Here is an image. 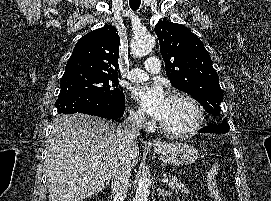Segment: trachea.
<instances>
[{
    "label": "trachea",
    "mask_w": 271,
    "mask_h": 201,
    "mask_svg": "<svg viewBox=\"0 0 271 201\" xmlns=\"http://www.w3.org/2000/svg\"><path fill=\"white\" fill-rule=\"evenodd\" d=\"M141 0H129V5L131 9L137 10L140 7Z\"/></svg>",
    "instance_id": "obj_1"
}]
</instances>
